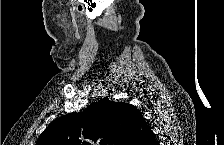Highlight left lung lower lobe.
Masks as SVG:
<instances>
[{"label": "left lung lower lobe", "instance_id": "left-lung-lower-lobe-1", "mask_svg": "<svg viewBox=\"0 0 224 145\" xmlns=\"http://www.w3.org/2000/svg\"><path fill=\"white\" fill-rule=\"evenodd\" d=\"M128 145H157L154 134L142 115L135 119L134 130Z\"/></svg>", "mask_w": 224, "mask_h": 145}]
</instances>
